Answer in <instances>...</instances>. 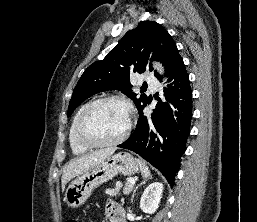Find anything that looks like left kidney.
Masks as SVG:
<instances>
[{
	"mask_svg": "<svg viewBox=\"0 0 257 222\" xmlns=\"http://www.w3.org/2000/svg\"><path fill=\"white\" fill-rule=\"evenodd\" d=\"M163 184L160 182L151 183L143 192L140 201V208L143 212L152 214L158 207L162 198Z\"/></svg>",
	"mask_w": 257,
	"mask_h": 222,
	"instance_id": "left-kidney-1",
	"label": "left kidney"
}]
</instances>
